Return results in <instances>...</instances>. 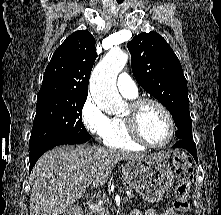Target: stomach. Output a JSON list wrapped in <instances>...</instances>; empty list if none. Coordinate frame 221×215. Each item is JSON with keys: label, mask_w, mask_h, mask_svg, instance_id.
Returning a JSON list of instances; mask_svg holds the SVG:
<instances>
[{"label": "stomach", "mask_w": 221, "mask_h": 215, "mask_svg": "<svg viewBox=\"0 0 221 215\" xmlns=\"http://www.w3.org/2000/svg\"><path fill=\"white\" fill-rule=\"evenodd\" d=\"M123 180L145 201L158 202L173 185L169 162L160 154L129 160L122 168Z\"/></svg>", "instance_id": "0dacf381"}]
</instances>
